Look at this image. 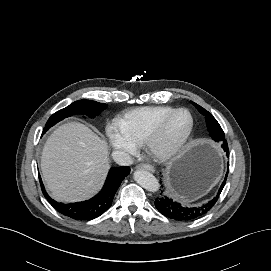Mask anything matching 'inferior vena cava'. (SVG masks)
Returning <instances> with one entry per match:
<instances>
[{"label":"inferior vena cava","instance_id":"602c4592","mask_svg":"<svg viewBox=\"0 0 271 271\" xmlns=\"http://www.w3.org/2000/svg\"><path fill=\"white\" fill-rule=\"evenodd\" d=\"M113 160L121 166H130L133 164V159L131 156L124 151H114L112 152Z\"/></svg>","mask_w":271,"mask_h":271}]
</instances>
